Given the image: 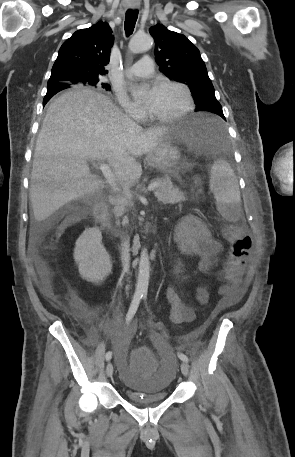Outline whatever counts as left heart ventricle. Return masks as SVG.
I'll return each mask as SVG.
<instances>
[{
	"label": "left heart ventricle",
	"instance_id": "obj_1",
	"mask_svg": "<svg viewBox=\"0 0 295 457\" xmlns=\"http://www.w3.org/2000/svg\"><path fill=\"white\" fill-rule=\"evenodd\" d=\"M185 105L182 91L173 86L158 87L154 102L149 105V110L158 116H169L179 112Z\"/></svg>",
	"mask_w": 295,
	"mask_h": 457
}]
</instances>
